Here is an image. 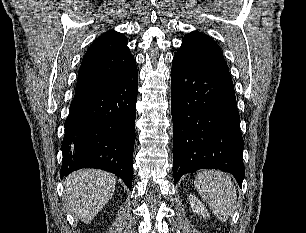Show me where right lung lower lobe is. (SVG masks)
<instances>
[{
    "instance_id": "98d812e1",
    "label": "right lung lower lobe",
    "mask_w": 306,
    "mask_h": 233,
    "mask_svg": "<svg viewBox=\"0 0 306 233\" xmlns=\"http://www.w3.org/2000/svg\"><path fill=\"white\" fill-rule=\"evenodd\" d=\"M137 67L116 84L74 97L65 121L61 178L81 168L119 176L132 186Z\"/></svg>"
}]
</instances>
